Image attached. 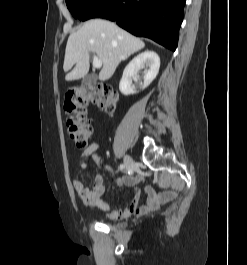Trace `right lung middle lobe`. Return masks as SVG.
Returning <instances> with one entry per match:
<instances>
[{
    "label": "right lung middle lobe",
    "mask_w": 247,
    "mask_h": 265,
    "mask_svg": "<svg viewBox=\"0 0 247 265\" xmlns=\"http://www.w3.org/2000/svg\"><path fill=\"white\" fill-rule=\"evenodd\" d=\"M101 0H66L70 12L75 18L82 19L87 11Z\"/></svg>",
    "instance_id": "1"
}]
</instances>
